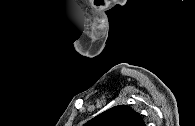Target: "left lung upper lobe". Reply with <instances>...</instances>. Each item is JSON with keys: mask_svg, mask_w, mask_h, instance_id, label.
<instances>
[{"mask_svg": "<svg viewBox=\"0 0 195 126\" xmlns=\"http://www.w3.org/2000/svg\"><path fill=\"white\" fill-rule=\"evenodd\" d=\"M85 126H145L142 116L128 105H119L91 119Z\"/></svg>", "mask_w": 195, "mask_h": 126, "instance_id": "5c2ea615", "label": "left lung upper lobe"}]
</instances>
